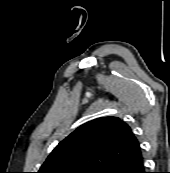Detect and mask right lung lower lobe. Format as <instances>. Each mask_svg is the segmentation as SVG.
Listing matches in <instances>:
<instances>
[{"instance_id": "98d812e1", "label": "right lung lower lobe", "mask_w": 170, "mask_h": 173, "mask_svg": "<svg viewBox=\"0 0 170 173\" xmlns=\"http://www.w3.org/2000/svg\"><path fill=\"white\" fill-rule=\"evenodd\" d=\"M102 173H146L141 150L134 156L108 167Z\"/></svg>"}]
</instances>
